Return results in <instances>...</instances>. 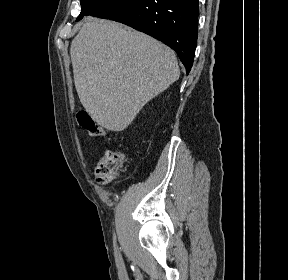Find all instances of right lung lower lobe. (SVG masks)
<instances>
[{"label": "right lung lower lobe", "instance_id": "98d812e1", "mask_svg": "<svg viewBox=\"0 0 288 280\" xmlns=\"http://www.w3.org/2000/svg\"><path fill=\"white\" fill-rule=\"evenodd\" d=\"M199 0H111L91 16L124 23L177 52L190 72L198 36Z\"/></svg>", "mask_w": 288, "mask_h": 280}]
</instances>
